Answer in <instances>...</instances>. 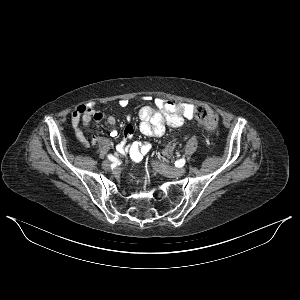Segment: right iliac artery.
<instances>
[{
  "mask_svg": "<svg viewBox=\"0 0 300 300\" xmlns=\"http://www.w3.org/2000/svg\"><path fill=\"white\" fill-rule=\"evenodd\" d=\"M107 158L110 160V161H112V162H114L115 163V165H119L120 164V161L116 158V157H114L113 155H111V154H109L108 156H107Z\"/></svg>",
  "mask_w": 300,
  "mask_h": 300,
  "instance_id": "right-iliac-artery-1",
  "label": "right iliac artery"
}]
</instances>
